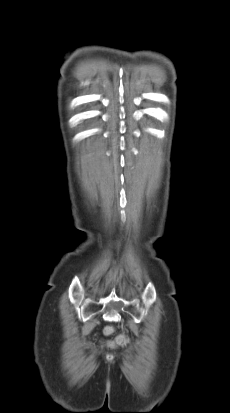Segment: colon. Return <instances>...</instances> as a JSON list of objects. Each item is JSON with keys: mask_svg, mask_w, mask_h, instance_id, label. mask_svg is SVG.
I'll return each instance as SVG.
<instances>
[{"mask_svg": "<svg viewBox=\"0 0 230 413\" xmlns=\"http://www.w3.org/2000/svg\"><path fill=\"white\" fill-rule=\"evenodd\" d=\"M113 332V328L112 327H107L105 329V333L106 334H111ZM128 342V339L125 335H119L116 340H115V344L118 346H125Z\"/></svg>", "mask_w": 230, "mask_h": 413, "instance_id": "1", "label": "colon"}]
</instances>
